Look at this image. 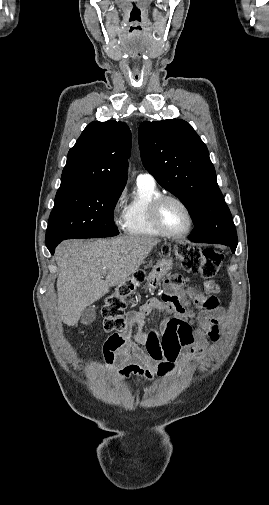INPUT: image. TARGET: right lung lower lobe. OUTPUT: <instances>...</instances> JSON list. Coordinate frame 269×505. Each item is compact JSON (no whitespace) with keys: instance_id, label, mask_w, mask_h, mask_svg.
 I'll return each instance as SVG.
<instances>
[{"instance_id":"98d812e1","label":"right lung lower lobe","mask_w":269,"mask_h":505,"mask_svg":"<svg viewBox=\"0 0 269 505\" xmlns=\"http://www.w3.org/2000/svg\"><path fill=\"white\" fill-rule=\"evenodd\" d=\"M61 242V241H60ZM60 242H56V243H52V244H49L47 245L49 251L51 252V254H54L55 252V248L56 246L60 243Z\"/></svg>"}]
</instances>
